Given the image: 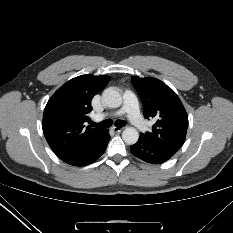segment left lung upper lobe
Listing matches in <instances>:
<instances>
[{"mask_svg": "<svg viewBox=\"0 0 233 233\" xmlns=\"http://www.w3.org/2000/svg\"><path fill=\"white\" fill-rule=\"evenodd\" d=\"M131 80L143 103L144 116L157 120L151 132L140 136L153 146L176 153L185 141L188 127V116L179 97L158 79Z\"/></svg>", "mask_w": 233, "mask_h": 233, "instance_id": "left-lung-upper-lobe-1", "label": "left lung upper lobe"}]
</instances>
